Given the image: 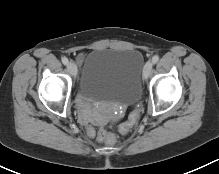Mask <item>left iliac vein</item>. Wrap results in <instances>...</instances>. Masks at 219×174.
I'll use <instances>...</instances> for the list:
<instances>
[{
	"instance_id": "left-iliac-vein-1",
	"label": "left iliac vein",
	"mask_w": 219,
	"mask_h": 174,
	"mask_svg": "<svg viewBox=\"0 0 219 174\" xmlns=\"http://www.w3.org/2000/svg\"><path fill=\"white\" fill-rule=\"evenodd\" d=\"M153 69V63L148 61L143 68V79H148Z\"/></svg>"
}]
</instances>
